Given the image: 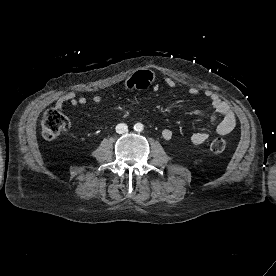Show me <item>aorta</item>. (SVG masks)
<instances>
[{
  "mask_svg": "<svg viewBox=\"0 0 276 276\" xmlns=\"http://www.w3.org/2000/svg\"><path fill=\"white\" fill-rule=\"evenodd\" d=\"M143 129H144V126H143L142 123H136L134 125V130L137 131V132H141V131H143Z\"/></svg>",
  "mask_w": 276,
  "mask_h": 276,
  "instance_id": "obj_1",
  "label": "aorta"
}]
</instances>
